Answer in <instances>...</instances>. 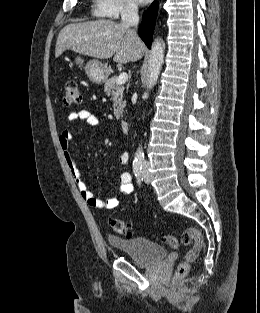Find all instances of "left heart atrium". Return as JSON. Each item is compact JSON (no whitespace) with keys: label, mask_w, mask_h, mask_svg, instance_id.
Listing matches in <instances>:
<instances>
[{"label":"left heart atrium","mask_w":260,"mask_h":313,"mask_svg":"<svg viewBox=\"0 0 260 313\" xmlns=\"http://www.w3.org/2000/svg\"><path fill=\"white\" fill-rule=\"evenodd\" d=\"M136 2L140 3V4H146L148 3L150 0H135Z\"/></svg>","instance_id":"left-heart-atrium-1"}]
</instances>
